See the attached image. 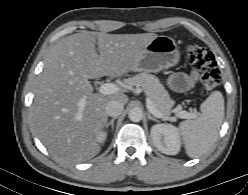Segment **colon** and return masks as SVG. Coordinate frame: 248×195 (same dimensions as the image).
I'll use <instances>...</instances> for the list:
<instances>
[{
  "instance_id": "colon-1",
  "label": "colon",
  "mask_w": 248,
  "mask_h": 195,
  "mask_svg": "<svg viewBox=\"0 0 248 195\" xmlns=\"http://www.w3.org/2000/svg\"><path fill=\"white\" fill-rule=\"evenodd\" d=\"M189 65L201 73L202 92L205 95L213 92L220 82V72L216 67L214 54L198 44L186 46Z\"/></svg>"
}]
</instances>
